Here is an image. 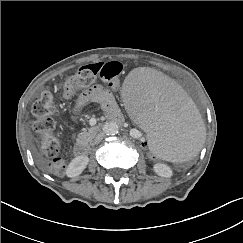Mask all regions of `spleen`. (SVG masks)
Wrapping results in <instances>:
<instances>
[{
	"label": "spleen",
	"mask_w": 243,
	"mask_h": 243,
	"mask_svg": "<svg viewBox=\"0 0 243 243\" xmlns=\"http://www.w3.org/2000/svg\"><path fill=\"white\" fill-rule=\"evenodd\" d=\"M121 92L136 124L164 159L180 164L198 154L206 138L205 125L177 82L142 68L126 76Z\"/></svg>",
	"instance_id": "3e777b00"
}]
</instances>
